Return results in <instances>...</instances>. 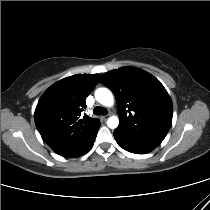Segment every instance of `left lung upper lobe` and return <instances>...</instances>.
Instances as JSON below:
<instances>
[{"instance_id":"obj_1","label":"left lung upper lobe","mask_w":210,"mask_h":210,"mask_svg":"<svg viewBox=\"0 0 210 210\" xmlns=\"http://www.w3.org/2000/svg\"><path fill=\"white\" fill-rule=\"evenodd\" d=\"M115 94L120 124L114 135L127 141L159 146L172 124V101L164 86L151 74L122 67L101 76Z\"/></svg>"}]
</instances>
